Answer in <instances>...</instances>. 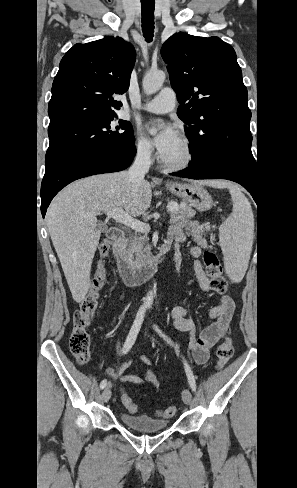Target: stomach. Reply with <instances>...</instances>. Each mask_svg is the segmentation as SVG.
Returning <instances> with one entry per match:
<instances>
[{"instance_id":"1","label":"stomach","mask_w":297,"mask_h":488,"mask_svg":"<svg viewBox=\"0 0 297 488\" xmlns=\"http://www.w3.org/2000/svg\"><path fill=\"white\" fill-rule=\"evenodd\" d=\"M167 188L199 211H207L213 204L211 195L199 184L170 183Z\"/></svg>"}]
</instances>
